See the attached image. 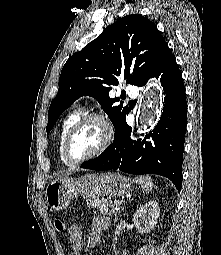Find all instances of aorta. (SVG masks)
<instances>
[{
  "instance_id": "762f6f07",
  "label": "aorta",
  "mask_w": 221,
  "mask_h": 255,
  "mask_svg": "<svg viewBox=\"0 0 221 255\" xmlns=\"http://www.w3.org/2000/svg\"><path fill=\"white\" fill-rule=\"evenodd\" d=\"M162 108V93L150 81L141 96L136 117L137 134L145 133L152 128L159 119Z\"/></svg>"
}]
</instances>
